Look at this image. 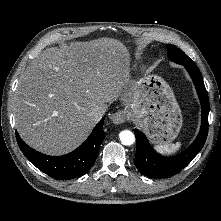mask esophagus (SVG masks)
<instances>
[{"label":"esophagus","mask_w":221,"mask_h":221,"mask_svg":"<svg viewBox=\"0 0 221 221\" xmlns=\"http://www.w3.org/2000/svg\"><path fill=\"white\" fill-rule=\"evenodd\" d=\"M126 118H127V112L125 110H119L113 114L111 120L115 125H119L124 123Z\"/></svg>","instance_id":"1"}]
</instances>
